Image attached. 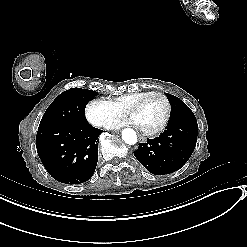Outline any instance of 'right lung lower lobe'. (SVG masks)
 I'll list each match as a JSON object with an SVG mask.
<instances>
[{
  "mask_svg": "<svg viewBox=\"0 0 247 247\" xmlns=\"http://www.w3.org/2000/svg\"><path fill=\"white\" fill-rule=\"evenodd\" d=\"M103 130L83 124L38 128L36 147L47 172L57 181L79 184L89 180L98 161V137Z\"/></svg>",
  "mask_w": 247,
  "mask_h": 247,
  "instance_id": "right-lung-lower-lobe-1",
  "label": "right lung lower lobe"
}]
</instances>
